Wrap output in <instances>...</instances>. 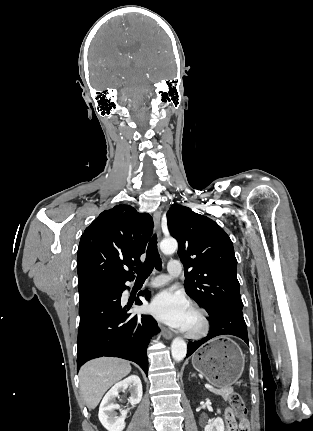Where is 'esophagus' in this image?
Returning a JSON list of instances; mask_svg holds the SVG:
<instances>
[{
	"instance_id": "obj_1",
	"label": "esophagus",
	"mask_w": 313,
	"mask_h": 431,
	"mask_svg": "<svg viewBox=\"0 0 313 431\" xmlns=\"http://www.w3.org/2000/svg\"><path fill=\"white\" fill-rule=\"evenodd\" d=\"M153 220H154L157 234H158V236H160L161 235V228H160L161 212L159 210L154 212ZM161 329H162L163 337L165 339H171L173 337V333L170 330H168L165 327H162Z\"/></svg>"
}]
</instances>
